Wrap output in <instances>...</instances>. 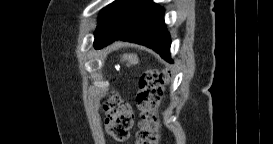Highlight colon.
<instances>
[{"label":"colon","mask_w":273,"mask_h":144,"mask_svg":"<svg viewBox=\"0 0 273 144\" xmlns=\"http://www.w3.org/2000/svg\"><path fill=\"white\" fill-rule=\"evenodd\" d=\"M167 75L159 70H150L142 78L137 101L143 117L138 135L139 144H156L159 142L157 122L153 114L163 95V86ZM104 109L107 115L106 129L108 134L117 141H125L133 123V114L130 106L116 96L109 99Z\"/></svg>","instance_id":"1"}]
</instances>
